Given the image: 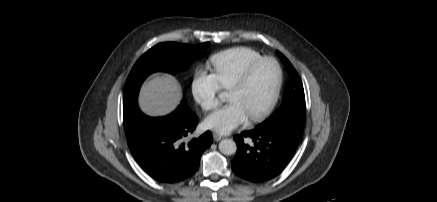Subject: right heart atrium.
<instances>
[{"label":"right heart atrium","instance_id":"1","mask_svg":"<svg viewBox=\"0 0 437 202\" xmlns=\"http://www.w3.org/2000/svg\"><path fill=\"white\" fill-rule=\"evenodd\" d=\"M222 87L215 74L203 67H197L191 82V94L194 101L205 111L215 109L219 104Z\"/></svg>","mask_w":437,"mask_h":202}]
</instances>
